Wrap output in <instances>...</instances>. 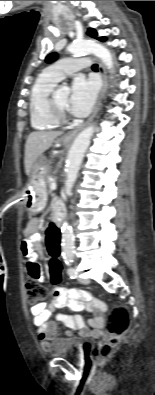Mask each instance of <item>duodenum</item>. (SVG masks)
Listing matches in <instances>:
<instances>
[{"label": "duodenum", "instance_id": "410a0bca", "mask_svg": "<svg viewBox=\"0 0 155 395\" xmlns=\"http://www.w3.org/2000/svg\"><path fill=\"white\" fill-rule=\"evenodd\" d=\"M65 219V212L62 208H58L57 210H54V217L53 221L56 223L57 226H60Z\"/></svg>", "mask_w": 155, "mask_h": 395}]
</instances>
